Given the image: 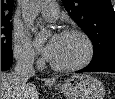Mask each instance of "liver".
I'll return each mask as SVG.
<instances>
[{
  "mask_svg": "<svg viewBox=\"0 0 115 99\" xmlns=\"http://www.w3.org/2000/svg\"><path fill=\"white\" fill-rule=\"evenodd\" d=\"M1 99H39L33 84L20 86L14 73L1 72Z\"/></svg>",
  "mask_w": 115,
  "mask_h": 99,
  "instance_id": "6515ba94",
  "label": "liver"
}]
</instances>
